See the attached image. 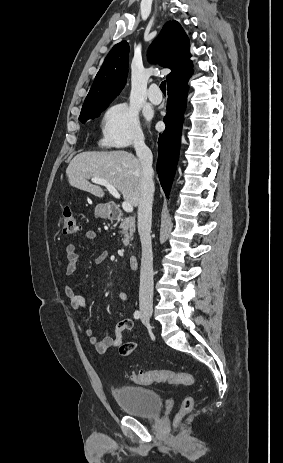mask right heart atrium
<instances>
[{
	"mask_svg": "<svg viewBox=\"0 0 283 463\" xmlns=\"http://www.w3.org/2000/svg\"><path fill=\"white\" fill-rule=\"evenodd\" d=\"M144 135L138 111L126 102L109 106L102 116L101 143L105 146L124 148L142 145Z\"/></svg>",
	"mask_w": 283,
	"mask_h": 463,
	"instance_id": "right-heart-atrium-1",
	"label": "right heart atrium"
}]
</instances>
